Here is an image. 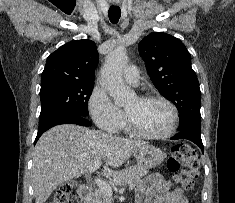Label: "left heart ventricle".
<instances>
[{"mask_svg":"<svg viewBox=\"0 0 235 203\" xmlns=\"http://www.w3.org/2000/svg\"><path fill=\"white\" fill-rule=\"evenodd\" d=\"M126 111L133 123L147 133L165 131L171 120V111L159 101H144L133 98L126 105Z\"/></svg>","mask_w":235,"mask_h":203,"instance_id":"1","label":"left heart ventricle"}]
</instances>
